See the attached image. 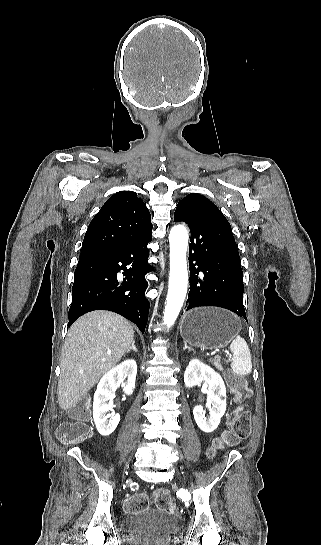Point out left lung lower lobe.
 Wrapping results in <instances>:
<instances>
[{"label":"left lung lower lobe","instance_id":"0a47b994","mask_svg":"<svg viewBox=\"0 0 321 545\" xmlns=\"http://www.w3.org/2000/svg\"><path fill=\"white\" fill-rule=\"evenodd\" d=\"M174 220L187 223L191 230L190 292L186 310L217 306L247 320L239 253L225 216L219 210L208 209L195 213L180 212L174 215Z\"/></svg>","mask_w":321,"mask_h":545}]
</instances>
